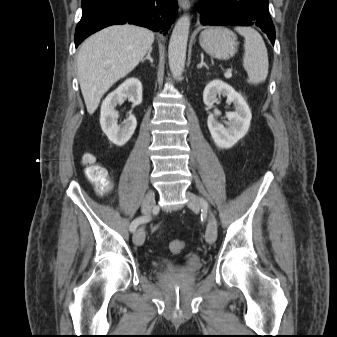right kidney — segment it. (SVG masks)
I'll return each mask as SVG.
<instances>
[{
  "label": "right kidney",
  "instance_id": "ca27d5eb",
  "mask_svg": "<svg viewBox=\"0 0 337 337\" xmlns=\"http://www.w3.org/2000/svg\"><path fill=\"white\" fill-rule=\"evenodd\" d=\"M127 97L134 105L142 102V84L138 79H127L105 98L101 106V128L108 139L117 146L125 145L137 126L136 118L132 114L127 117L122 126L117 124L119 115L115 107L117 104H122Z\"/></svg>",
  "mask_w": 337,
  "mask_h": 337
}]
</instances>
